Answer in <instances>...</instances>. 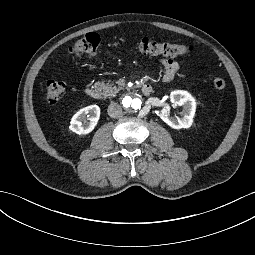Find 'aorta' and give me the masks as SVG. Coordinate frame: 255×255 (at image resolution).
I'll return each mask as SVG.
<instances>
[{"label":"aorta","instance_id":"1","mask_svg":"<svg viewBox=\"0 0 255 255\" xmlns=\"http://www.w3.org/2000/svg\"><path fill=\"white\" fill-rule=\"evenodd\" d=\"M124 107L130 111H138L143 106L142 99L137 94L126 96L123 99Z\"/></svg>","mask_w":255,"mask_h":255}]
</instances>
